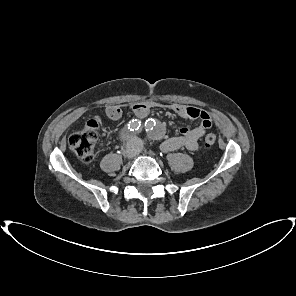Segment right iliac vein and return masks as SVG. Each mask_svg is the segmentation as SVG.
<instances>
[{
  "mask_svg": "<svg viewBox=\"0 0 296 296\" xmlns=\"http://www.w3.org/2000/svg\"><path fill=\"white\" fill-rule=\"evenodd\" d=\"M137 154V149L136 146L133 142H129L125 148V150L123 151V155L125 158L127 159H131L133 157H135Z\"/></svg>",
  "mask_w": 296,
  "mask_h": 296,
  "instance_id": "obj_1",
  "label": "right iliac vein"
}]
</instances>
